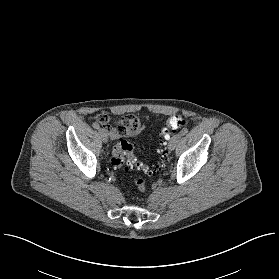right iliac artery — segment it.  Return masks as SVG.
I'll return each mask as SVG.
<instances>
[{"label":"right iliac artery","instance_id":"right-iliac-artery-1","mask_svg":"<svg viewBox=\"0 0 279 279\" xmlns=\"http://www.w3.org/2000/svg\"><path fill=\"white\" fill-rule=\"evenodd\" d=\"M92 127H93L94 129H101V128H100V125H99L97 122H93V123H92Z\"/></svg>","mask_w":279,"mask_h":279}]
</instances>
